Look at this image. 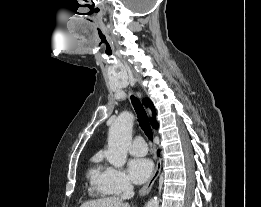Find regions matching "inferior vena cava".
Returning a JSON list of instances; mask_svg holds the SVG:
<instances>
[{"label": "inferior vena cava", "instance_id": "obj_1", "mask_svg": "<svg viewBox=\"0 0 261 207\" xmlns=\"http://www.w3.org/2000/svg\"><path fill=\"white\" fill-rule=\"evenodd\" d=\"M133 196H134L133 185L129 181H126L124 183L121 199L126 200L132 198Z\"/></svg>", "mask_w": 261, "mask_h": 207}]
</instances>
